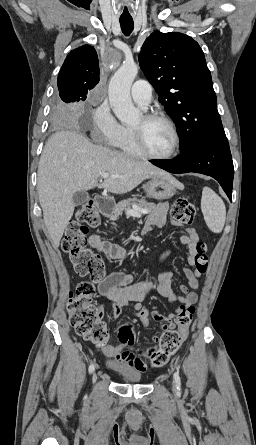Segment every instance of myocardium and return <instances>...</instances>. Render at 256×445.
Segmentation results:
<instances>
[{"label":"myocardium","instance_id":"myocardium-1","mask_svg":"<svg viewBox=\"0 0 256 445\" xmlns=\"http://www.w3.org/2000/svg\"><path fill=\"white\" fill-rule=\"evenodd\" d=\"M142 118L144 122L162 121L166 123L170 127L173 134V146L169 153L165 155H155L146 147L142 132L139 129L130 128L134 144L140 154L153 160H168L173 158L177 154L180 147V135L173 120L163 114L157 113L145 114L142 116Z\"/></svg>","mask_w":256,"mask_h":445}]
</instances>
